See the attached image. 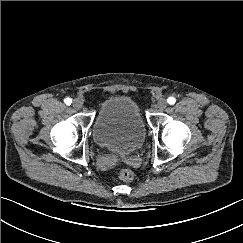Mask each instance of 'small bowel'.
Returning a JSON list of instances; mask_svg holds the SVG:
<instances>
[{
	"label": "small bowel",
	"instance_id": "1",
	"mask_svg": "<svg viewBox=\"0 0 243 243\" xmlns=\"http://www.w3.org/2000/svg\"><path fill=\"white\" fill-rule=\"evenodd\" d=\"M104 168L109 169V168H111V166L109 163H104Z\"/></svg>",
	"mask_w": 243,
	"mask_h": 243
}]
</instances>
